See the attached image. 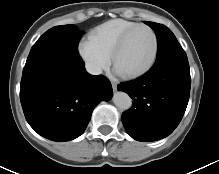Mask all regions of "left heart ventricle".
<instances>
[{
    "mask_svg": "<svg viewBox=\"0 0 219 174\" xmlns=\"http://www.w3.org/2000/svg\"><path fill=\"white\" fill-rule=\"evenodd\" d=\"M154 40L149 30L141 28L128 39L117 58L116 68L120 72H134L144 68L152 58Z\"/></svg>",
    "mask_w": 219,
    "mask_h": 174,
    "instance_id": "b2bd125f",
    "label": "left heart ventricle"
}]
</instances>
